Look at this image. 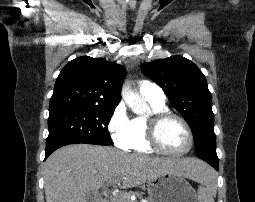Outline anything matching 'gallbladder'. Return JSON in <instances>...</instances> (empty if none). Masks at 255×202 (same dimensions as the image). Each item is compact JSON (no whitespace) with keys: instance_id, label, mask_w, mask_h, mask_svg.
Listing matches in <instances>:
<instances>
[{"instance_id":"obj_1","label":"gallbladder","mask_w":255,"mask_h":202,"mask_svg":"<svg viewBox=\"0 0 255 202\" xmlns=\"http://www.w3.org/2000/svg\"><path fill=\"white\" fill-rule=\"evenodd\" d=\"M85 202H96V195L89 194V195L86 197V201H85Z\"/></svg>"}]
</instances>
